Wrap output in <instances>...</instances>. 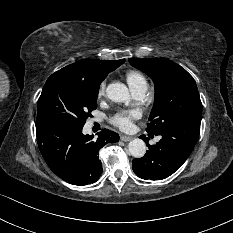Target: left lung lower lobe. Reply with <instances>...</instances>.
<instances>
[{"instance_id": "obj_1", "label": "left lung lower lobe", "mask_w": 233, "mask_h": 233, "mask_svg": "<svg viewBox=\"0 0 233 233\" xmlns=\"http://www.w3.org/2000/svg\"><path fill=\"white\" fill-rule=\"evenodd\" d=\"M200 117L179 122L158 134L162 139L149 145L145 135L140 136L149 150L139 159L132 161L134 173L142 179L162 180L173 174L192 152L200 132Z\"/></svg>"}]
</instances>
